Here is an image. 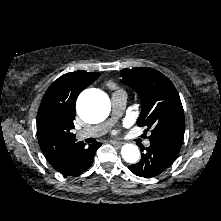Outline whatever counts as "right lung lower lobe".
<instances>
[{
	"label": "right lung lower lobe",
	"instance_id": "obj_1",
	"mask_svg": "<svg viewBox=\"0 0 221 221\" xmlns=\"http://www.w3.org/2000/svg\"><path fill=\"white\" fill-rule=\"evenodd\" d=\"M101 143L91 144L88 147H81L69 155L70 159L56 170L63 175H77L87 170L92 162L94 154Z\"/></svg>",
	"mask_w": 221,
	"mask_h": 221
}]
</instances>
